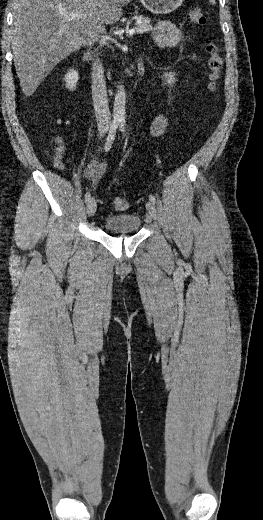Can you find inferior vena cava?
<instances>
[{
	"mask_svg": "<svg viewBox=\"0 0 263 520\" xmlns=\"http://www.w3.org/2000/svg\"><path fill=\"white\" fill-rule=\"evenodd\" d=\"M92 98L98 130L100 133L106 132L111 125V114L109 111L104 69L98 57L94 60L92 67Z\"/></svg>",
	"mask_w": 263,
	"mask_h": 520,
	"instance_id": "obj_1",
	"label": "inferior vena cava"
}]
</instances>
